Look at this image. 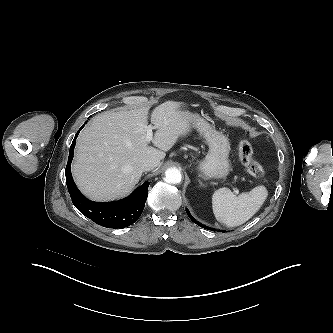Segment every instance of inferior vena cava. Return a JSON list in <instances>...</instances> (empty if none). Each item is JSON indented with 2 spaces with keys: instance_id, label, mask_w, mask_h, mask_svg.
Wrapping results in <instances>:
<instances>
[{
  "instance_id": "1",
  "label": "inferior vena cava",
  "mask_w": 333,
  "mask_h": 333,
  "mask_svg": "<svg viewBox=\"0 0 333 333\" xmlns=\"http://www.w3.org/2000/svg\"><path fill=\"white\" fill-rule=\"evenodd\" d=\"M159 161L157 159H145L144 161H142L141 163V169L143 171H149V170H153L154 168H156L159 165Z\"/></svg>"
}]
</instances>
